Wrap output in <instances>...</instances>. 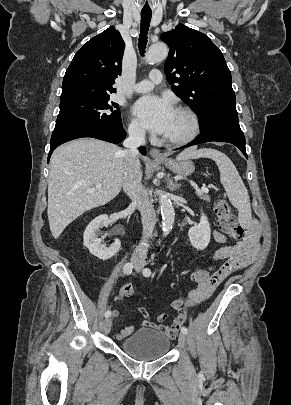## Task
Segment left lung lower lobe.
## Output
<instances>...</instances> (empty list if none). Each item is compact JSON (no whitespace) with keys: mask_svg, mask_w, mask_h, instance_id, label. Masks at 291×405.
<instances>
[{"mask_svg":"<svg viewBox=\"0 0 291 405\" xmlns=\"http://www.w3.org/2000/svg\"><path fill=\"white\" fill-rule=\"evenodd\" d=\"M192 142L182 148L192 145L201 144L210 141L228 142L237 146L247 157L245 148V137L239 126L237 116L223 114L218 116L209 127Z\"/></svg>","mask_w":291,"mask_h":405,"instance_id":"0a47b994","label":"left lung lower lobe"}]
</instances>
